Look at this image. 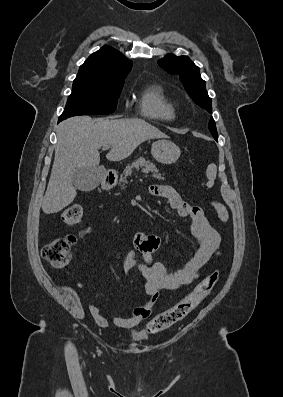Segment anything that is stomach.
I'll return each mask as SVG.
<instances>
[{"instance_id": "stomach-1", "label": "stomach", "mask_w": 283, "mask_h": 397, "mask_svg": "<svg viewBox=\"0 0 283 397\" xmlns=\"http://www.w3.org/2000/svg\"><path fill=\"white\" fill-rule=\"evenodd\" d=\"M151 154L162 164H172L179 159L181 151L174 142L162 139L152 144Z\"/></svg>"}]
</instances>
